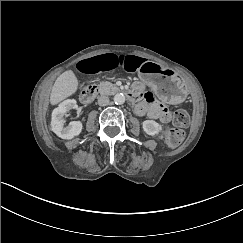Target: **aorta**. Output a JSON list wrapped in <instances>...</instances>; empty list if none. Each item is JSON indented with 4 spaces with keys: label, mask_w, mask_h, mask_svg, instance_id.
Here are the masks:
<instances>
[{
    "label": "aorta",
    "mask_w": 243,
    "mask_h": 243,
    "mask_svg": "<svg viewBox=\"0 0 243 243\" xmlns=\"http://www.w3.org/2000/svg\"><path fill=\"white\" fill-rule=\"evenodd\" d=\"M113 101L117 105H121L125 102V95L123 93H117L113 97Z\"/></svg>",
    "instance_id": "obj_1"
}]
</instances>
